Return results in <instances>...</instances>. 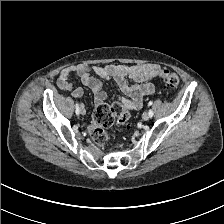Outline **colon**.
Here are the masks:
<instances>
[{
  "mask_svg": "<svg viewBox=\"0 0 224 224\" xmlns=\"http://www.w3.org/2000/svg\"><path fill=\"white\" fill-rule=\"evenodd\" d=\"M160 77L167 88H176L179 85L178 75L170 70H162ZM115 121L120 125H126L129 121V113L120 102L97 106L88 128L92 140L98 145L104 144L108 139L106 129Z\"/></svg>",
  "mask_w": 224,
  "mask_h": 224,
  "instance_id": "1",
  "label": "colon"
}]
</instances>
